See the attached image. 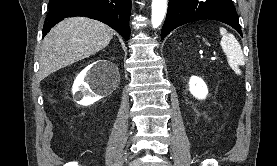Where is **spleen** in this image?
<instances>
[{
  "label": "spleen",
  "instance_id": "spleen-1",
  "mask_svg": "<svg viewBox=\"0 0 277 166\" xmlns=\"http://www.w3.org/2000/svg\"><path fill=\"white\" fill-rule=\"evenodd\" d=\"M220 35L222 36L220 45L227 56L229 66L234 70L238 66H243L245 59L237 39L223 27L220 28Z\"/></svg>",
  "mask_w": 277,
  "mask_h": 166
}]
</instances>
